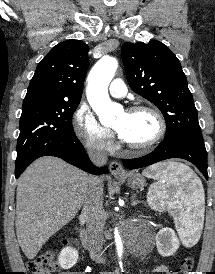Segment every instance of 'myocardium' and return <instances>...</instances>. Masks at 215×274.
<instances>
[{
	"label": "myocardium",
	"mask_w": 215,
	"mask_h": 274,
	"mask_svg": "<svg viewBox=\"0 0 215 274\" xmlns=\"http://www.w3.org/2000/svg\"><path fill=\"white\" fill-rule=\"evenodd\" d=\"M139 111H145L149 112L154 116L157 122V132L155 136L150 139L149 141L142 143V144H132L124 141L122 139L123 144L128 147L129 149H132L134 151L138 152H145L150 149H152L154 146H156L166 135L167 132V123L163 116V114L154 106L149 104H136L133 106H130L126 109L127 113H133V112H139Z\"/></svg>",
	"instance_id": "1"
}]
</instances>
